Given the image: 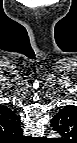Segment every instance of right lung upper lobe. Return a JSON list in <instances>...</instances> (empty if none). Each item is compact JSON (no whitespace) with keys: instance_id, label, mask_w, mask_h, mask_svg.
Instances as JSON below:
<instances>
[{"instance_id":"right-lung-upper-lobe-1","label":"right lung upper lobe","mask_w":77,"mask_h":143,"mask_svg":"<svg viewBox=\"0 0 77 143\" xmlns=\"http://www.w3.org/2000/svg\"><path fill=\"white\" fill-rule=\"evenodd\" d=\"M0 131L7 136L22 134L19 117L6 106H0Z\"/></svg>"}]
</instances>
